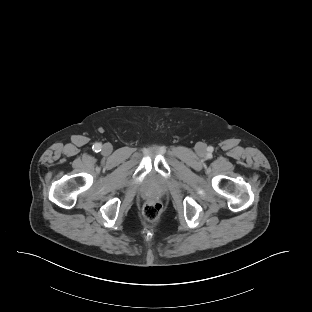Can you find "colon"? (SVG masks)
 <instances>
[{
	"mask_svg": "<svg viewBox=\"0 0 312 312\" xmlns=\"http://www.w3.org/2000/svg\"><path fill=\"white\" fill-rule=\"evenodd\" d=\"M161 211V205L158 202H148L143 208V216L148 221H154L158 218Z\"/></svg>",
	"mask_w": 312,
	"mask_h": 312,
	"instance_id": "colon-1",
	"label": "colon"
}]
</instances>
